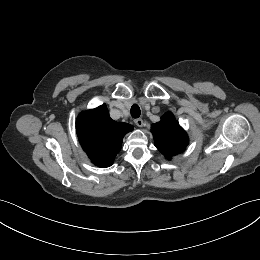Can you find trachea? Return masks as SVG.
Wrapping results in <instances>:
<instances>
[{
	"label": "trachea",
	"mask_w": 260,
	"mask_h": 260,
	"mask_svg": "<svg viewBox=\"0 0 260 260\" xmlns=\"http://www.w3.org/2000/svg\"><path fill=\"white\" fill-rule=\"evenodd\" d=\"M131 116L133 118H138L140 116V108L137 104H134L132 107H131Z\"/></svg>",
	"instance_id": "obj_1"
}]
</instances>
